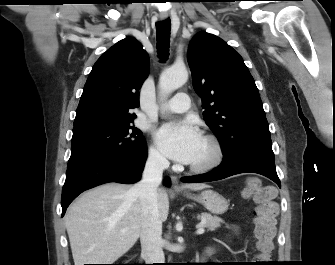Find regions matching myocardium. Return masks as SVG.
Listing matches in <instances>:
<instances>
[{"label":"myocardium","mask_w":335,"mask_h":265,"mask_svg":"<svg viewBox=\"0 0 335 265\" xmlns=\"http://www.w3.org/2000/svg\"><path fill=\"white\" fill-rule=\"evenodd\" d=\"M203 139L207 141L213 149V155L211 159L200 165H189V170L195 174H206L215 170L224 159V148L221 141L214 135L206 134Z\"/></svg>","instance_id":"obj_1"}]
</instances>
